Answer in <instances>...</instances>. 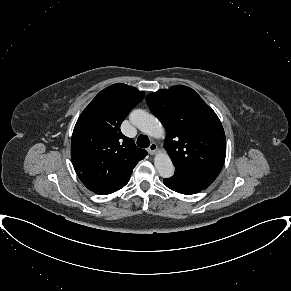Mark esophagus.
I'll list each match as a JSON object with an SVG mask.
<instances>
[{
    "mask_svg": "<svg viewBox=\"0 0 291 291\" xmlns=\"http://www.w3.org/2000/svg\"><path fill=\"white\" fill-rule=\"evenodd\" d=\"M147 151L150 155H154L158 151L157 144L154 142L151 143L150 146L148 147Z\"/></svg>",
    "mask_w": 291,
    "mask_h": 291,
    "instance_id": "obj_1",
    "label": "esophagus"
}]
</instances>
